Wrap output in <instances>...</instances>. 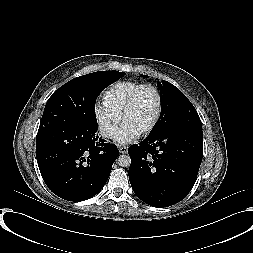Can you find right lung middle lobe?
Returning <instances> with one entry per match:
<instances>
[{"label": "right lung middle lobe", "mask_w": 253, "mask_h": 253, "mask_svg": "<svg viewBox=\"0 0 253 253\" xmlns=\"http://www.w3.org/2000/svg\"><path fill=\"white\" fill-rule=\"evenodd\" d=\"M124 74L119 71H99L74 78L61 86L46 103L38 134L75 124L98 129L96 99L105 87Z\"/></svg>", "instance_id": "right-lung-middle-lobe-1"}]
</instances>
